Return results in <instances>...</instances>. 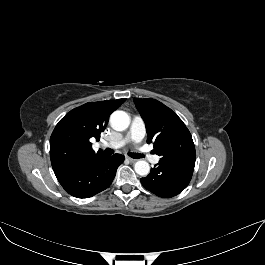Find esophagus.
I'll return each mask as SVG.
<instances>
[{"mask_svg":"<svg viewBox=\"0 0 265 265\" xmlns=\"http://www.w3.org/2000/svg\"><path fill=\"white\" fill-rule=\"evenodd\" d=\"M127 159H128L130 162H132V163H134V162H136V161H137L136 159H134V158H131V157H127Z\"/></svg>","mask_w":265,"mask_h":265,"instance_id":"obj_1","label":"esophagus"}]
</instances>
